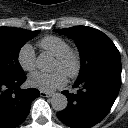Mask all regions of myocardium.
I'll list each match as a JSON object with an SVG mask.
<instances>
[{
    "instance_id": "f54148a6",
    "label": "myocardium",
    "mask_w": 128,
    "mask_h": 128,
    "mask_svg": "<svg viewBox=\"0 0 128 128\" xmlns=\"http://www.w3.org/2000/svg\"><path fill=\"white\" fill-rule=\"evenodd\" d=\"M56 61L67 69V77L76 78L82 69V59L78 50L69 48L61 56L56 57Z\"/></svg>"
}]
</instances>
